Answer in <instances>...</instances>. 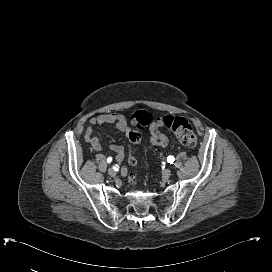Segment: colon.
Wrapping results in <instances>:
<instances>
[{
  "label": "colon",
  "mask_w": 272,
  "mask_h": 272,
  "mask_svg": "<svg viewBox=\"0 0 272 272\" xmlns=\"http://www.w3.org/2000/svg\"><path fill=\"white\" fill-rule=\"evenodd\" d=\"M149 121V116L145 113H135L130 117V123L134 128H142ZM162 125L174 133L176 138L186 147L193 148L196 144V135L187 119L180 116H166L162 119ZM141 140V134L135 130L129 134V146L135 148ZM131 163L134 159L131 158ZM128 180L132 185L137 184L138 175L131 171L128 173Z\"/></svg>",
  "instance_id": "1"
}]
</instances>
